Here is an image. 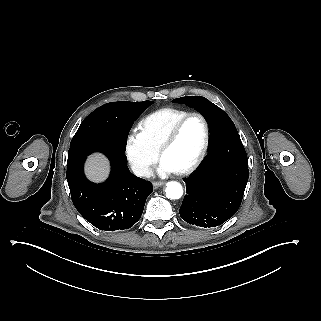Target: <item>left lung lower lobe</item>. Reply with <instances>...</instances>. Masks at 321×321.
<instances>
[{
    "instance_id": "1",
    "label": "left lung lower lobe",
    "mask_w": 321,
    "mask_h": 321,
    "mask_svg": "<svg viewBox=\"0 0 321 321\" xmlns=\"http://www.w3.org/2000/svg\"><path fill=\"white\" fill-rule=\"evenodd\" d=\"M249 178L248 158L238 133L210 141L209 152L184 179L187 195L179 213L193 226L223 224L239 209Z\"/></svg>"
}]
</instances>
